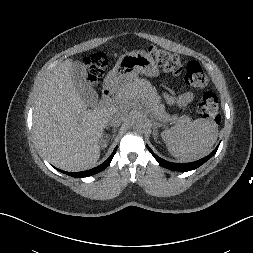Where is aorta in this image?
<instances>
[{
	"mask_svg": "<svg viewBox=\"0 0 253 253\" xmlns=\"http://www.w3.org/2000/svg\"><path fill=\"white\" fill-rule=\"evenodd\" d=\"M147 123L141 116H137L133 121V129L138 132H142L146 129Z\"/></svg>",
	"mask_w": 253,
	"mask_h": 253,
	"instance_id": "aorta-1",
	"label": "aorta"
}]
</instances>
